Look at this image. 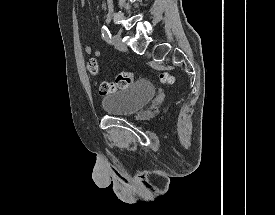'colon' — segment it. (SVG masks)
<instances>
[{"label": "colon", "instance_id": "1", "mask_svg": "<svg viewBox=\"0 0 275 215\" xmlns=\"http://www.w3.org/2000/svg\"><path fill=\"white\" fill-rule=\"evenodd\" d=\"M88 69L92 74H96L98 71V65L95 59H91L88 62ZM135 81V74L132 71L124 70L117 74L113 81H103L98 84L99 92L102 96H106L109 93L125 89L132 85ZM160 81L165 84H172L174 77L167 73L162 72L160 74Z\"/></svg>", "mask_w": 275, "mask_h": 215}]
</instances>
